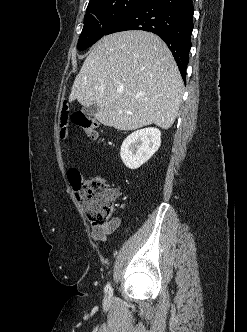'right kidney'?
<instances>
[{
  "label": "right kidney",
  "instance_id": "right-kidney-1",
  "mask_svg": "<svg viewBox=\"0 0 247 332\" xmlns=\"http://www.w3.org/2000/svg\"><path fill=\"white\" fill-rule=\"evenodd\" d=\"M161 132L149 127L131 133L123 141L120 156L126 167L137 169L147 162L159 149Z\"/></svg>",
  "mask_w": 247,
  "mask_h": 332
}]
</instances>
